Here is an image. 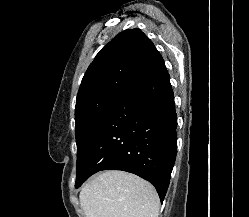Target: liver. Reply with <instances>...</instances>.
I'll list each match as a JSON object with an SVG mask.
<instances>
[{"mask_svg": "<svg viewBox=\"0 0 249 217\" xmlns=\"http://www.w3.org/2000/svg\"><path fill=\"white\" fill-rule=\"evenodd\" d=\"M85 217H158L160 200L147 181L124 171L98 174L81 189Z\"/></svg>", "mask_w": 249, "mask_h": 217, "instance_id": "6515ba94", "label": "liver"}]
</instances>
